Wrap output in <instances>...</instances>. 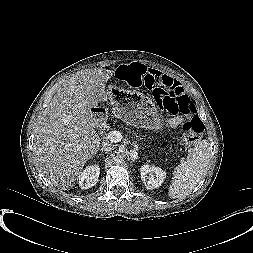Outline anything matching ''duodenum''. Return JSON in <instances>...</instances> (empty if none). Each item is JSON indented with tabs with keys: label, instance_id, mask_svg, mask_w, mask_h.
I'll return each mask as SVG.
<instances>
[{
	"label": "duodenum",
	"instance_id": "410a0bca",
	"mask_svg": "<svg viewBox=\"0 0 253 253\" xmlns=\"http://www.w3.org/2000/svg\"><path fill=\"white\" fill-rule=\"evenodd\" d=\"M94 112V122L97 125H102L104 123V118H105V111L102 108H93Z\"/></svg>",
	"mask_w": 253,
	"mask_h": 253
}]
</instances>
